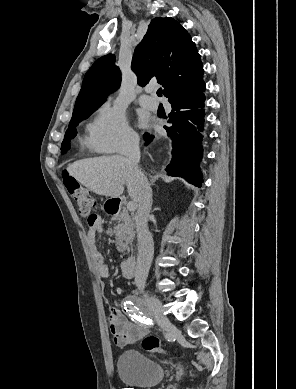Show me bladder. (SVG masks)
<instances>
[{"mask_svg": "<svg viewBox=\"0 0 296 389\" xmlns=\"http://www.w3.org/2000/svg\"><path fill=\"white\" fill-rule=\"evenodd\" d=\"M117 371L126 385L148 388L159 384L165 377L164 368L137 350H125L117 359Z\"/></svg>", "mask_w": 296, "mask_h": 389, "instance_id": "bladder-1", "label": "bladder"}]
</instances>
